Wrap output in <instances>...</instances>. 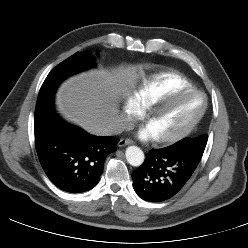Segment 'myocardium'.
<instances>
[{
  "label": "myocardium",
  "instance_id": "f54148a6",
  "mask_svg": "<svg viewBox=\"0 0 248 248\" xmlns=\"http://www.w3.org/2000/svg\"><path fill=\"white\" fill-rule=\"evenodd\" d=\"M194 94H198L203 97L204 104H203V108L201 112L194 119H192L184 128H182L178 132L170 134V135L162 136V137H157V140L160 143H165V144L176 143L184 139L185 137H187L198 126V124L203 119L206 113L207 107H208V99H207L206 94L200 90L186 89V90L176 91L169 95L161 97L160 99H158L156 102H154L152 105L149 106L147 114H146L147 124L150 122V120L155 115H157L158 113L166 109L175 100L185 97V96L194 95Z\"/></svg>",
  "mask_w": 248,
  "mask_h": 248
}]
</instances>
